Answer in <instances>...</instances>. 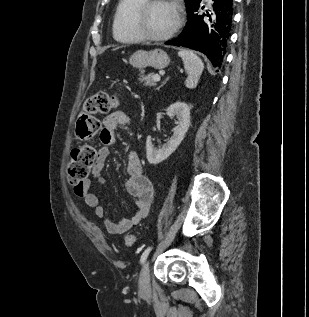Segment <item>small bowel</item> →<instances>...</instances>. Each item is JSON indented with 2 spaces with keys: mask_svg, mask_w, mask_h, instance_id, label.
I'll use <instances>...</instances> for the list:
<instances>
[{
  "mask_svg": "<svg viewBox=\"0 0 309 317\" xmlns=\"http://www.w3.org/2000/svg\"><path fill=\"white\" fill-rule=\"evenodd\" d=\"M104 127L100 132L101 147L97 151L96 161L91 169L90 178H86L74 189L75 195L81 198L85 205L93 208L94 215L103 219L106 231L111 235H119L145 218L150 210L154 198V189L150 179L143 174L142 165L138 154L131 151L127 157V179L125 189L134 197L135 213L129 218L120 221H112L104 217V209L98 196L91 192L92 179L98 183L105 182L102 171L104 163L110 154L111 148L116 145V129L129 124V117L122 111H116L103 120Z\"/></svg>",
  "mask_w": 309,
  "mask_h": 317,
  "instance_id": "obj_1",
  "label": "small bowel"
}]
</instances>
